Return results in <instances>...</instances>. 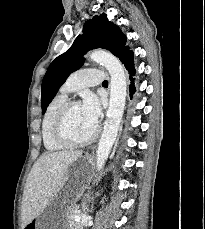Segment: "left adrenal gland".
<instances>
[{
	"label": "left adrenal gland",
	"instance_id": "obj_1",
	"mask_svg": "<svg viewBox=\"0 0 205 229\" xmlns=\"http://www.w3.org/2000/svg\"><path fill=\"white\" fill-rule=\"evenodd\" d=\"M82 209H83V212H84V213L89 212L88 204H87L86 202H83V204H82Z\"/></svg>",
	"mask_w": 205,
	"mask_h": 229
}]
</instances>
